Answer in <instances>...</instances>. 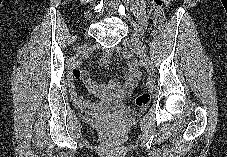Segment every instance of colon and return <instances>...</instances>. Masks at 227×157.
Masks as SVG:
<instances>
[{
  "instance_id": "obj_1",
  "label": "colon",
  "mask_w": 227,
  "mask_h": 157,
  "mask_svg": "<svg viewBox=\"0 0 227 157\" xmlns=\"http://www.w3.org/2000/svg\"><path fill=\"white\" fill-rule=\"evenodd\" d=\"M148 13L149 16L154 20V23L158 28H162L164 26L165 13L163 0H149ZM150 99V95L144 93L136 97L135 104L138 107H146L149 105Z\"/></svg>"
}]
</instances>
